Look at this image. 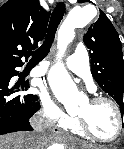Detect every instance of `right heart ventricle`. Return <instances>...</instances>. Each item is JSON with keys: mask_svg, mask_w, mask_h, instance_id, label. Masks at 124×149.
I'll return each mask as SVG.
<instances>
[{"mask_svg": "<svg viewBox=\"0 0 124 149\" xmlns=\"http://www.w3.org/2000/svg\"><path fill=\"white\" fill-rule=\"evenodd\" d=\"M66 128L71 129L74 133H76L80 136H84V133L81 131V129L78 126L77 120H75L74 122L69 124Z\"/></svg>", "mask_w": 124, "mask_h": 149, "instance_id": "right-heart-ventricle-1", "label": "right heart ventricle"}]
</instances>
